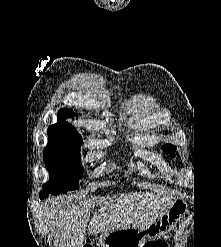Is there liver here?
I'll list each match as a JSON object with an SVG mask.
<instances>
[{
  "instance_id": "6515ba94",
  "label": "liver",
  "mask_w": 221,
  "mask_h": 247,
  "mask_svg": "<svg viewBox=\"0 0 221 247\" xmlns=\"http://www.w3.org/2000/svg\"><path fill=\"white\" fill-rule=\"evenodd\" d=\"M171 199L167 194L150 192L94 196L84 200L70 196L46 200L43 210L55 232L57 247H83L87 227L89 234L144 227L161 216ZM95 206L100 209L90 220Z\"/></svg>"
}]
</instances>
